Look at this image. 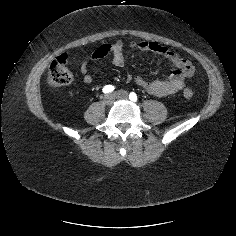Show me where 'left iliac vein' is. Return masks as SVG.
Instances as JSON below:
<instances>
[{
    "label": "left iliac vein",
    "mask_w": 236,
    "mask_h": 236,
    "mask_svg": "<svg viewBox=\"0 0 236 236\" xmlns=\"http://www.w3.org/2000/svg\"><path fill=\"white\" fill-rule=\"evenodd\" d=\"M113 95L117 99H124V100H126L128 98V93L126 91H124V90L117 91Z\"/></svg>",
    "instance_id": "1"
}]
</instances>
